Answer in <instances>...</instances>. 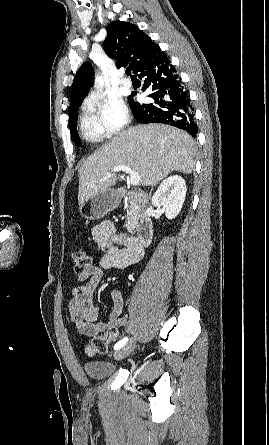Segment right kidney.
<instances>
[{
  "label": "right kidney",
  "mask_w": 269,
  "mask_h": 445,
  "mask_svg": "<svg viewBox=\"0 0 269 445\" xmlns=\"http://www.w3.org/2000/svg\"><path fill=\"white\" fill-rule=\"evenodd\" d=\"M186 182L178 175L166 178L152 197L155 207H163L168 219L175 218L181 211L186 197Z\"/></svg>",
  "instance_id": "ca27d5eb"
}]
</instances>
